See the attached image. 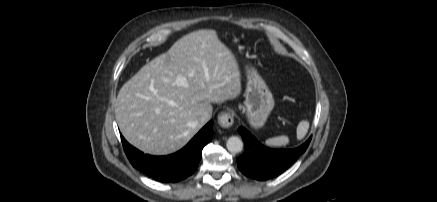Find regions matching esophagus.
I'll return each instance as SVG.
<instances>
[{
	"label": "esophagus",
	"instance_id": "1",
	"mask_svg": "<svg viewBox=\"0 0 437 202\" xmlns=\"http://www.w3.org/2000/svg\"><path fill=\"white\" fill-rule=\"evenodd\" d=\"M234 123V114L232 112H221L218 115V124L223 128H229Z\"/></svg>",
	"mask_w": 437,
	"mask_h": 202
}]
</instances>
